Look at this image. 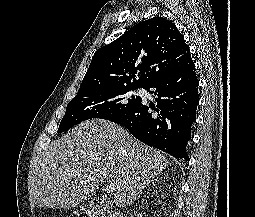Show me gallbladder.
Wrapping results in <instances>:
<instances>
[{"instance_id": "bac80fb5", "label": "gallbladder", "mask_w": 255, "mask_h": 217, "mask_svg": "<svg viewBox=\"0 0 255 217\" xmlns=\"http://www.w3.org/2000/svg\"><path fill=\"white\" fill-rule=\"evenodd\" d=\"M94 203H97V202H92V205H94Z\"/></svg>"}]
</instances>
